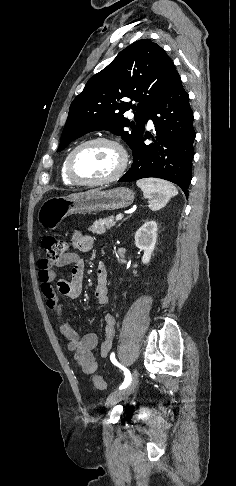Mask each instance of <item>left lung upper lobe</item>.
<instances>
[{"instance_id": "5c2ea615", "label": "left lung upper lobe", "mask_w": 236, "mask_h": 486, "mask_svg": "<svg viewBox=\"0 0 236 486\" xmlns=\"http://www.w3.org/2000/svg\"><path fill=\"white\" fill-rule=\"evenodd\" d=\"M179 77L174 63L158 44L149 39L134 42L90 78L71 103L57 151L96 130H109L121 136L133 149L144 133L151 105ZM130 109L135 115L132 122L123 116ZM126 127H131V132L125 131Z\"/></svg>"}]
</instances>
